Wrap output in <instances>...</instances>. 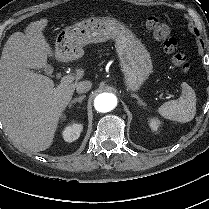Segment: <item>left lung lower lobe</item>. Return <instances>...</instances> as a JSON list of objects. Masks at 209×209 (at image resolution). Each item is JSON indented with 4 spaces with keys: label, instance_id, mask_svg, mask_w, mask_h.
I'll use <instances>...</instances> for the list:
<instances>
[{
    "label": "left lung lower lobe",
    "instance_id": "left-lung-lower-lobe-1",
    "mask_svg": "<svg viewBox=\"0 0 209 209\" xmlns=\"http://www.w3.org/2000/svg\"><path fill=\"white\" fill-rule=\"evenodd\" d=\"M195 33L197 34V35H199V33H198V30L197 29H195ZM202 42V41H201Z\"/></svg>",
    "mask_w": 209,
    "mask_h": 209
}]
</instances>
